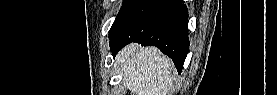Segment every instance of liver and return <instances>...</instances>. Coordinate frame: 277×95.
I'll return each instance as SVG.
<instances>
[{"label":"liver","mask_w":277,"mask_h":95,"mask_svg":"<svg viewBox=\"0 0 277 95\" xmlns=\"http://www.w3.org/2000/svg\"><path fill=\"white\" fill-rule=\"evenodd\" d=\"M115 61L121 66L124 86L133 95H167L173 84V63L155 47L129 44Z\"/></svg>","instance_id":"6515ba94"}]
</instances>
